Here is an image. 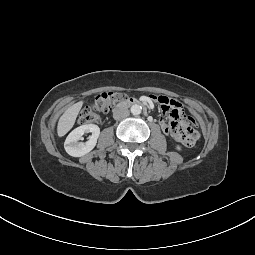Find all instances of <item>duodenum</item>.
Returning a JSON list of instances; mask_svg holds the SVG:
<instances>
[{"label":"duodenum","mask_w":255,"mask_h":255,"mask_svg":"<svg viewBox=\"0 0 255 255\" xmlns=\"http://www.w3.org/2000/svg\"><path fill=\"white\" fill-rule=\"evenodd\" d=\"M144 103L137 99V98H133V97H129L126 98L124 100H122L121 102H119L116 106L115 109H121V108H125V107H130V106H135V105H143Z\"/></svg>","instance_id":"duodenum-1"}]
</instances>
